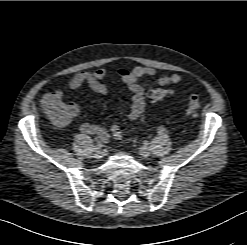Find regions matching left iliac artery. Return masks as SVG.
<instances>
[{
  "label": "left iliac artery",
  "mask_w": 247,
  "mask_h": 245,
  "mask_svg": "<svg viewBox=\"0 0 247 245\" xmlns=\"http://www.w3.org/2000/svg\"><path fill=\"white\" fill-rule=\"evenodd\" d=\"M165 131V128L163 126L158 127L157 132L159 134H162Z\"/></svg>",
  "instance_id": "left-iliac-artery-1"
}]
</instances>
